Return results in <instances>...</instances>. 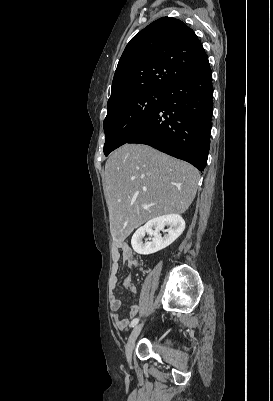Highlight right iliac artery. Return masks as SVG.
I'll use <instances>...</instances> for the list:
<instances>
[{"label":"right iliac artery","instance_id":"82829eb1","mask_svg":"<svg viewBox=\"0 0 273 401\" xmlns=\"http://www.w3.org/2000/svg\"><path fill=\"white\" fill-rule=\"evenodd\" d=\"M138 321H139L138 318H134V319L131 321L130 327H134V326L138 323Z\"/></svg>","mask_w":273,"mask_h":401}]
</instances>
